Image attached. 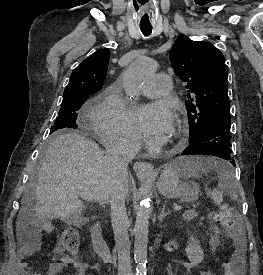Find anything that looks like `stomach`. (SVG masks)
I'll return each instance as SVG.
<instances>
[{"instance_id":"1","label":"stomach","mask_w":263,"mask_h":275,"mask_svg":"<svg viewBox=\"0 0 263 275\" xmlns=\"http://www.w3.org/2000/svg\"><path fill=\"white\" fill-rule=\"evenodd\" d=\"M157 188L159 192L169 198H179L181 201H193L198 191L195 188L182 183L174 164L166 166L158 179Z\"/></svg>"}]
</instances>
